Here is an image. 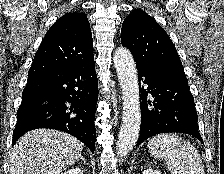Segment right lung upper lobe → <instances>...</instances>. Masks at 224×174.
<instances>
[{
    "mask_svg": "<svg viewBox=\"0 0 224 174\" xmlns=\"http://www.w3.org/2000/svg\"><path fill=\"white\" fill-rule=\"evenodd\" d=\"M94 60L93 40L85 13L69 12L47 31L40 44L28 78Z\"/></svg>",
    "mask_w": 224,
    "mask_h": 174,
    "instance_id": "right-lung-upper-lobe-1",
    "label": "right lung upper lobe"
}]
</instances>
